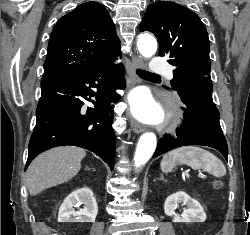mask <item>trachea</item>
<instances>
[{
	"label": "trachea",
	"instance_id": "obj_1",
	"mask_svg": "<svg viewBox=\"0 0 250 235\" xmlns=\"http://www.w3.org/2000/svg\"><path fill=\"white\" fill-rule=\"evenodd\" d=\"M136 72L141 77H160L159 75L151 73V72L146 71V70L137 69Z\"/></svg>",
	"mask_w": 250,
	"mask_h": 235
}]
</instances>
